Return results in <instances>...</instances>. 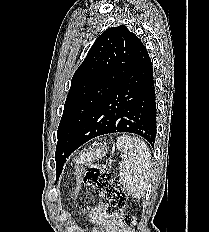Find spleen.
<instances>
[{"mask_svg": "<svg viewBox=\"0 0 209 232\" xmlns=\"http://www.w3.org/2000/svg\"><path fill=\"white\" fill-rule=\"evenodd\" d=\"M117 149L123 153L119 175L123 187L128 193L141 199L147 189L151 173V153L138 137L123 135L117 138Z\"/></svg>", "mask_w": 209, "mask_h": 232, "instance_id": "spleen-1", "label": "spleen"}]
</instances>
